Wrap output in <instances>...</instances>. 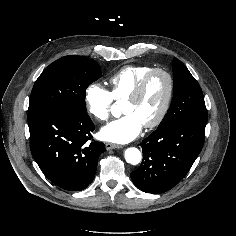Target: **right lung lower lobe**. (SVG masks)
<instances>
[{"label":"right lung lower lobe","instance_id":"1","mask_svg":"<svg viewBox=\"0 0 236 236\" xmlns=\"http://www.w3.org/2000/svg\"><path fill=\"white\" fill-rule=\"evenodd\" d=\"M28 125L31 153L44 175L64 190L85 189L106 150L104 143L91 140L90 117L42 109L28 112Z\"/></svg>","mask_w":236,"mask_h":236}]
</instances>
